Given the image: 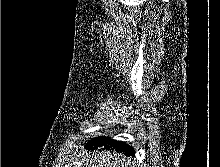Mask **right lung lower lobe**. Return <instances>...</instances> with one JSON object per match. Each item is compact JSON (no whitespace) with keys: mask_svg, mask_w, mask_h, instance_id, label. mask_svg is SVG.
Masks as SVG:
<instances>
[{"mask_svg":"<svg viewBox=\"0 0 220 167\" xmlns=\"http://www.w3.org/2000/svg\"><path fill=\"white\" fill-rule=\"evenodd\" d=\"M98 147L114 152L124 153L126 156L133 155L134 153L132 147L128 146L126 143L103 137L94 138L85 146L88 150L98 149Z\"/></svg>","mask_w":220,"mask_h":167,"instance_id":"1","label":"right lung lower lobe"}]
</instances>
